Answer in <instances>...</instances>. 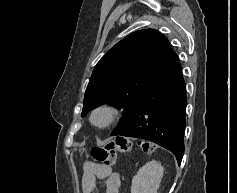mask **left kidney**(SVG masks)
Returning <instances> with one entry per match:
<instances>
[{"instance_id":"1","label":"left kidney","mask_w":237,"mask_h":193,"mask_svg":"<svg viewBox=\"0 0 237 193\" xmlns=\"http://www.w3.org/2000/svg\"><path fill=\"white\" fill-rule=\"evenodd\" d=\"M164 168L153 160L139 169L132 179L131 193H157L163 177Z\"/></svg>"}]
</instances>
